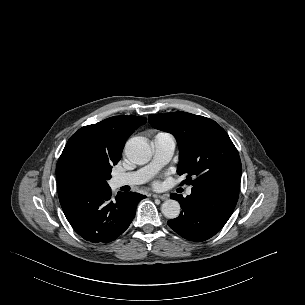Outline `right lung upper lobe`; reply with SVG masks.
I'll list each match as a JSON object with an SVG mask.
<instances>
[{"label": "right lung upper lobe", "mask_w": 305, "mask_h": 305, "mask_svg": "<svg viewBox=\"0 0 305 305\" xmlns=\"http://www.w3.org/2000/svg\"><path fill=\"white\" fill-rule=\"evenodd\" d=\"M147 121L144 117L114 116L99 123L80 128L68 140L56 167L58 195L76 189L67 185L61 177V166L67 155L77 146L91 147L112 162H118L128 137Z\"/></svg>", "instance_id": "right-lung-upper-lobe-1"}]
</instances>
